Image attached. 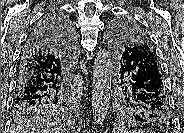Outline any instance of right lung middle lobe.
<instances>
[{"label":"right lung middle lobe","instance_id":"right-lung-middle-lobe-1","mask_svg":"<svg viewBox=\"0 0 184 133\" xmlns=\"http://www.w3.org/2000/svg\"><path fill=\"white\" fill-rule=\"evenodd\" d=\"M69 20V19H68ZM69 23L71 21L69 20ZM66 96H52L48 101L38 105H14L16 116H29L32 114H53L61 112L67 106Z\"/></svg>","mask_w":184,"mask_h":133}]
</instances>
